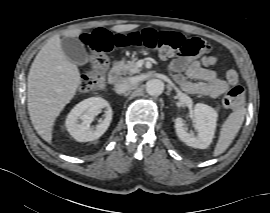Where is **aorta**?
<instances>
[{
    "mask_svg": "<svg viewBox=\"0 0 270 213\" xmlns=\"http://www.w3.org/2000/svg\"><path fill=\"white\" fill-rule=\"evenodd\" d=\"M146 91L151 96H158L164 91V83L159 79H150L146 83Z\"/></svg>",
    "mask_w": 270,
    "mask_h": 213,
    "instance_id": "aorta-1",
    "label": "aorta"
}]
</instances>
